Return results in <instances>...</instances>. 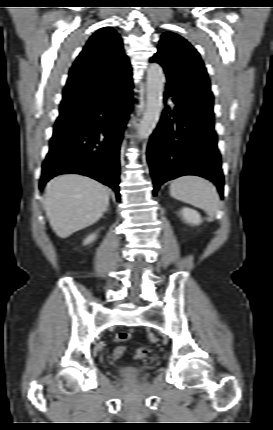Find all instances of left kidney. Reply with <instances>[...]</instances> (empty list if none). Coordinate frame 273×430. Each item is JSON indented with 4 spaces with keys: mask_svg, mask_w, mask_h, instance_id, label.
I'll list each match as a JSON object with an SVG mask.
<instances>
[{
    "mask_svg": "<svg viewBox=\"0 0 273 430\" xmlns=\"http://www.w3.org/2000/svg\"><path fill=\"white\" fill-rule=\"evenodd\" d=\"M181 215L186 223L199 225L202 222L200 214L192 208L184 207L181 210Z\"/></svg>",
    "mask_w": 273,
    "mask_h": 430,
    "instance_id": "1",
    "label": "left kidney"
}]
</instances>
